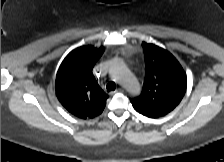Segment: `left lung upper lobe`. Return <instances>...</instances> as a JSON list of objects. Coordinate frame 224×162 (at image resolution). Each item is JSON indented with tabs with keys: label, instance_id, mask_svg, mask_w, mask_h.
<instances>
[{
	"label": "left lung upper lobe",
	"instance_id": "5c2ea615",
	"mask_svg": "<svg viewBox=\"0 0 224 162\" xmlns=\"http://www.w3.org/2000/svg\"><path fill=\"white\" fill-rule=\"evenodd\" d=\"M146 77L140 96L130 100L134 109L149 118L172 111L182 100L186 74L176 58L154 44L143 43Z\"/></svg>",
	"mask_w": 224,
	"mask_h": 162
}]
</instances>
